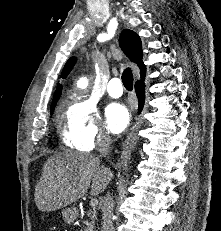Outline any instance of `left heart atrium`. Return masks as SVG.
Listing matches in <instances>:
<instances>
[{
  "instance_id": "left-heart-atrium-1",
  "label": "left heart atrium",
  "mask_w": 221,
  "mask_h": 231,
  "mask_svg": "<svg viewBox=\"0 0 221 231\" xmlns=\"http://www.w3.org/2000/svg\"><path fill=\"white\" fill-rule=\"evenodd\" d=\"M105 118L109 130L119 133L125 129L129 122V112L124 105L111 103L105 110Z\"/></svg>"
}]
</instances>
